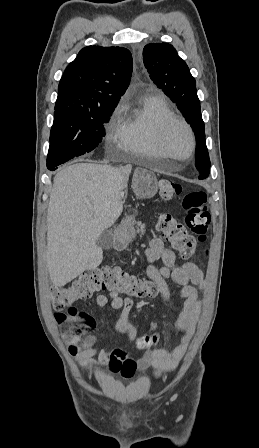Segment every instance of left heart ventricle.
Listing matches in <instances>:
<instances>
[{"instance_id":"1","label":"left heart ventricle","mask_w":259,"mask_h":448,"mask_svg":"<svg viewBox=\"0 0 259 448\" xmlns=\"http://www.w3.org/2000/svg\"><path fill=\"white\" fill-rule=\"evenodd\" d=\"M169 149L147 150L146 155L166 162H185L188 161L190 153V140L186 130L180 126L175 125L168 135Z\"/></svg>"}]
</instances>
